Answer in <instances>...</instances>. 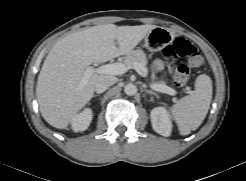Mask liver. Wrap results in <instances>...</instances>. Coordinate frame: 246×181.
<instances>
[{"instance_id":"1","label":"liver","mask_w":246,"mask_h":181,"mask_svg":"<svg viewBox=\"0 0 246 181\" xmlns=\"http://www.w3.org/2000/svg\"><path fill=\"white\" fill-rule=\"evenodd\" d=\"M156 27L105 24L60 39L49 51L36 85V96L45 121L55 128L66 129L91 100L95 84L102 76L93 74L81 86L85 69L92 63L129 54Z\"/></svg>"}]
</instances>
